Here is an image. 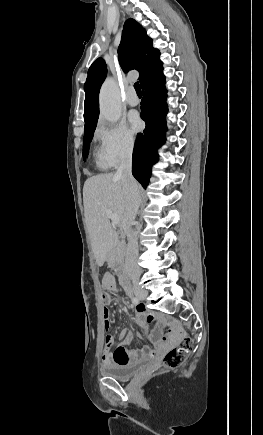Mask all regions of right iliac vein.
Returning a JSON list of instances; mask_svg holds the SVG:
<instances>
[{
    "mask_svg": "<svg viewBox=\"0 0 263 435\" xmlns=\"http://www.w3.org/2000/svg\"><path fill=\"white\" fill-rule=\"evenodd\" d=\"M134 293L140 299H144L148 294V292L141 287H135Z\"/></svg>",
    "mask_w": 263,
    "mask_h": 435,
    "instance_id": "63e3f726",
    "label": "right iliac vein"
}]
</instances>
